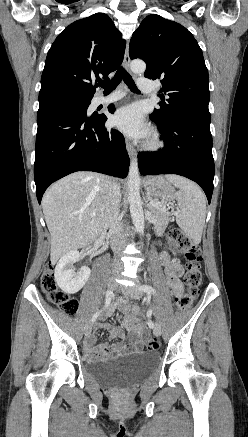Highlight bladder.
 <instances>
[{
    "mask_svg": "<svg viewBox=\"0 0 248 437\" xmlns=\"http://www.w3.org/2000/svg\"><path fill=\"white\" fill-rule=\"evenodd\" d=\"M157 359L155 352L127 353L90 363L87 373L105 385H128L150 373Z\"/></svg>",
    "mask_w": 248,
    "mask_h": 437,
    "instance_id": "1",
    "label": "bladder"
}]
</instances>
